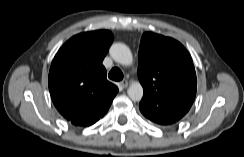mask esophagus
<instances>
[{
	"instance_id": "obj_1",
	"label": "esophagus",
	"mask_w": 244,
	"mask_h": 157,
	"mask_svg": "<svg viewBox=\"0 0 244 157\" xmlns=\"http://www.w3.org/2000/svg\"><path fill=\"white\" fill-rule=\"evenodd\" d=\"M128 81L127 80H123V81H121L120 82V86L122 87V88H127L128 87Z\"/></svg>"
}]
</instances>
